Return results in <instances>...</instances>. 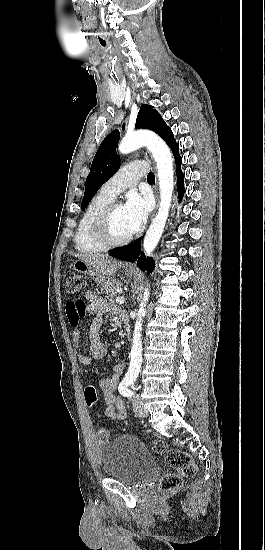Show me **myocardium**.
<instances>
[{
  "label": "myocardium",
  "instance_id": "f54148a6",
  "mask_svg": "<svg viewBox=\"0 0 265 550\" xmlns=\"http://www.w3.org/2000/svg\"><path fill=\"white\" fill-rule=\"evenodd\" d=\"M118 203L112 201L107 204L95 217L92 224V231L95 238L105 247H117L128 243L133 238V233L115 238L111 232V219Z\"/></svg>",
  "mask_w": 265,
  "mask_h": 550
}]
</instances>
